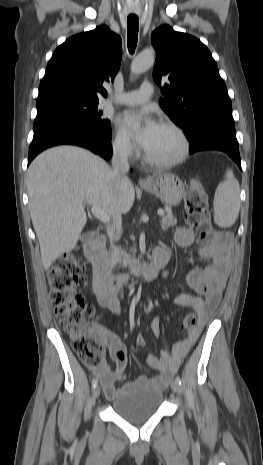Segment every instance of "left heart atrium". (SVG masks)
<instances>
[{
    "mask_svg": "<svg viewBox=\"0 0 263 465\" xmlns=\"http://www.w3.org/2000/svg\"><path fill=\"white\" fill-rule=\"evenodd\" d=\"M120 124L145 150L149 148L161 127L147 110L124 113Z\"/></svg>",
    "mask_w": 263,
    "mask_h": 465,
    "instance_id": "left-heart-atrium-1",
    "label": "left heart atrium"
}]
</instances>
